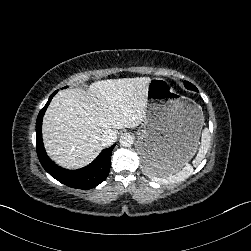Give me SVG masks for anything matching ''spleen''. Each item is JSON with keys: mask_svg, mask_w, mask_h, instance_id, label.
I'll use <instances>...</instances> for the list:
<instances>
[{"mask_svg": "<svg viewBox=\"0 0 251 251\" xmlns=\"http://www.w3.org/2000/svg\"><path fill=\"white\" fill-rule=\"evenodd\" d=\"M210 132L208 128H204L201 135V144L198 149L197 156L192 161L194 166H198L201 161L205 158V155L208 151V148L210 146ZM145 173L149 176H153L154 179H157L161 182H180L184 179L188 178L193 173V167L186 163L183 165V167L174 173H166L164 170H162L160 167H146Z\"/></svg>", "mask_w": 251, "mask_h": 251, "instance_id": "obj_1", "label": "spleen"}]
</instances>
